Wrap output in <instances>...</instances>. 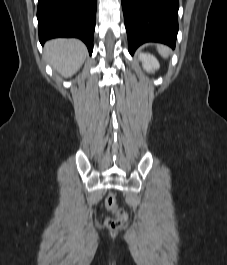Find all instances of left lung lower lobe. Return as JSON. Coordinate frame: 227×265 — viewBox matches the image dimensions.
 <instances>
[{"label":"left lung lower lobe","instance_id":"left-lung-lower-lobe-1","mask_svg":"<svg viewBox=\"0 0 227 265\" xmlns=\"http://www.w3.org/2000/svg\"><path fill=\"white\" fill-rule=\"evenodd\" d=\"M133 54L145 42H160L174 48L178 32V0H121Z\"/></svg>","mask_w":227,"mask_h":265}]
</instances>
